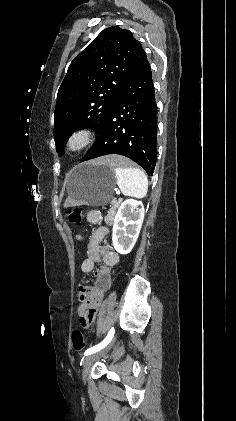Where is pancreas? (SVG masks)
<instances>
[{"instance_id": "cf45deb5", "label": "pancreas", "mask_w": 236, "mask_h": 421, "mask_svg": "<svg viewBox=\"0 0 236 421\" xmlns=\"http://www.w3.org/2000/svg\"><path fill=\"white\" fill-rule=\"evenodd\" d=\"M112 204H113V206H111V208H109L108 215L104 219L106 225H112V223L114 221V217L116 215L117 208H119V206L121 204V200H120V202H112Z\"/></svg>"}]
</instances>
